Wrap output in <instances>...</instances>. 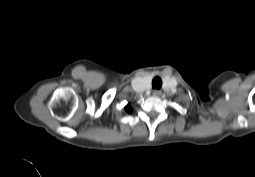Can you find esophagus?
<instances>
[{"label": "esophagus", "mask_w": 255, "mask_h": 177, "mask_svg": "<svg viewBox=\"0 0 255 177\" xmlns=\"http://www.w3.org/2000/svg\"><path fill=\"white\" fill-rule=\"evenodd\" d=\"M161 91L160 90H158V89H155V90H153V96H155V97H157V96H160L161 95Z\"/></svg>", "instance_id": "obj_1"}]
</instances>
